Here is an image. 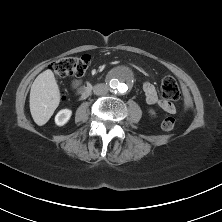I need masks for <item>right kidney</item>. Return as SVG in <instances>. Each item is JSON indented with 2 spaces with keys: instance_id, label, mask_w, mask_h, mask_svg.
I'll use <instances>...</instances> for the list:
<instances>
[{
  "instance_id": "1",
  "label": "right kidney",
  "mask_w": 222,
  "mask_h": 222,
  "mask_svg": "<svg viewBox=\"0 0 222 222\" xmlns=\"http://www.w3.org/2000/svg\"><path fill=\"white\" fill-rule=\"evenodd\" d=\"M72 115V111L70 109H62L55 116V123L58 126L65 125Z\"/></svg>"
}]
</instances>
